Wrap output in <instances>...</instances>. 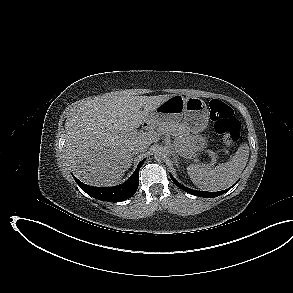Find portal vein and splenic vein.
<instances>
[{"label": "portal vein and splenic vein", "mask_w": 293, "mask_h": 293, "mask_svg": "<svg viewBox=\"0 0 293 293\" xmlns=\"http://www.w3.org/2000/svg\"><path fill=\"white\" fill-rule=\"evenodd\" d=\"M145 134L146 133H142V135H145ZM147 134L150 135V136H155L154 134L152 135L151 133H147ZM177 152L180 153L179 150H177ZM209 156L211 157V164L210 165L214 166L216 164V162H217L218 156L212 151L209 152Z\"/></svg>", "instance_id": "18ae733b"}]
</instances>
